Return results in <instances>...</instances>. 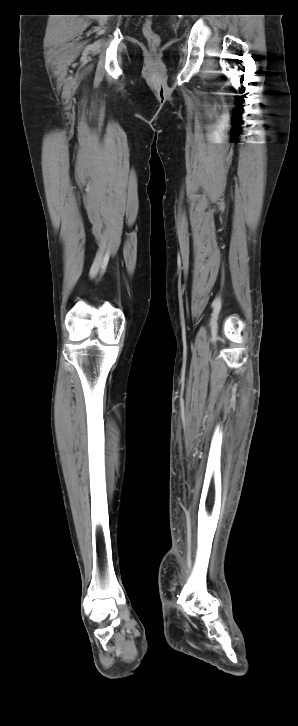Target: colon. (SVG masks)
<instances>
[{
    "mask_svg": "<svg viewBox=\"0 0 298 726\" xmlns=\"http://www.w3.org/2000/svg\"><path fill=\"white\" fill-rule=\"evenodd\" d=\"M142 30L144 37L147 39L151 46H156L159 44L160 38L158 34L154 31L150 22H145Z\"/></svg>",
    "mask_w": 298,
    "mask_h": 726,
    "instance_id": "5ec220e1",
    "label": "colon"
}]
</instances>
